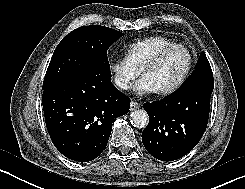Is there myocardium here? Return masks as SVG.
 I'll return each mask as SVG.
<instances>
[{
	"mask_svg": "<svg viewBox=\"0 0 245 189\" xmlns=\"http://www.w3.org/2000/svg\"><path fill=\"white\" fill-rule=\"evenodd\" d=\"M174 49H183L187 55H188V65L186 70L184 71V73L182 74V76L171 86L162 89L160 91H158V93L160 95H169L172 94L176 91H178L187 81V79L189 78L193 66H194V55L192 53V51L185 45L183 44H179V43H173L167 46L162 47L143 67V69L141 70V76L143 77V75L155 68L162 60L163 58L166 56L167 53H169L170 51L174 50Z\"/></svg>",
	"mask_w": 245,
	"mask_h": 189,
	"instance_id": "obj_1",
	"label": "myocardium"
}]
</instances>
